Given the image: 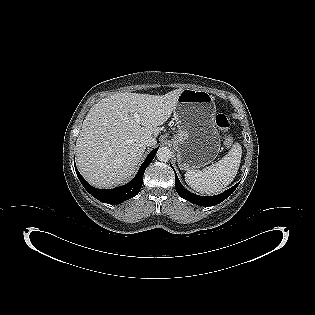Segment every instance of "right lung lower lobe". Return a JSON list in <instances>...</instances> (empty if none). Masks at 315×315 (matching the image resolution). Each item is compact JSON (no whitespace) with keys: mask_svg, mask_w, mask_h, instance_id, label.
Segmentation results:
<instances>
[{"mask_svg":"<svg viewBox=\"0 0 315 315\" xmlns=\"http://www.w3.org/2000/svg\"><path fill=\"white\" fill-rule=\"evenodd\" d=\"M158 148L154 149L150 152L147 156L146 160L140 166L137 175L131 180L128 184L114 188V189H97L89 185L85 179L81 176L78 172L77 168L75 167L76 174L84 186V188L96 199L101 202L108 203V204H120L125 200H128L134 196H136L142 186L143 183V175L147 166L151 163L154 156L156 155Z\"/></svg>","mask_w":315,"mask_h":315,"instance_id":"obj_1","label":"right lung lower lobe"}]
</instances>
